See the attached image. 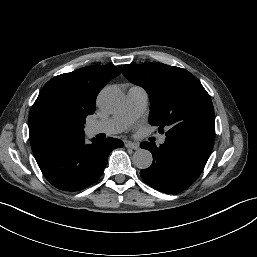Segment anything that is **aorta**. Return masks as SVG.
<instances>
[{"label": "aorta", "instance_id": "aorta-1", "mask_svg": "<svg viewBox=\"0 0 257 257\" xmlns=\"http://www.w3.org/2000/svg\"><path fill=\"white\" fill-rule=\"evenodd\" d=\"M100 107L107 112L118 110L123 102V93L114 86H108L101 90L98 96ZM133 163L140 169L149 168L152 165L153 157L150 151L146 149H138L133 154Z\"/></svg>", "mask_w": 257, "mask_h": 257}]
</instances>
